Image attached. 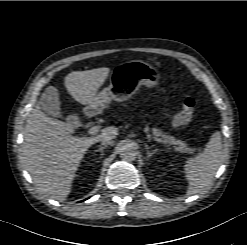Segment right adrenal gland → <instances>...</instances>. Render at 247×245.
Returning <instances> with one entry per match:
<instances>
[{"mask_svg":"<svg viewBox=\"0 0 247 245\" xmlns=\"http://www.w3.org/2000/svg\"><path fill=\"white\" fill-rule=\"evenodd\" d=\"M107 146L104 145V146H99V148L97 150H95V152H101V156L103 155V152H104V149L106 148Z\"/></svg>","mask_w":247,"mask_h":245,"instance_id":"1","label":"right adrenal gland"}]
</instances>
